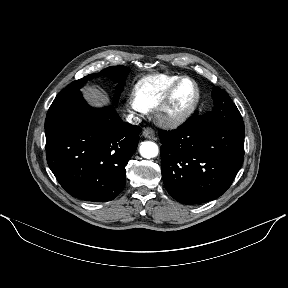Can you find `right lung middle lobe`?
Here are the masks:
<instances>
[{"label": "right lung middle lobe", "instance_id": "obj_1", "mask_svg": "<svg viewBox=\"0 0 288 288\" xmlns=\"http://www.w3.org/2000/svg\"><path fill=\"white\" fill-rule=\"evenodd\" d=\"M128 72H129V68L123 65H118L115 67H108L102 70L100 73L89 74L69 84L65 89H63L60 93H58V95L56 96L53 102L58 101L59 99L67 96L68 94L72 92L79 91L80 87H82L85 83H87V81L90 80L91 78H98L100 76H106L111 79H114L116 82H119L117 93L114 97V105H117L118 99L121 95V92L123 91V86H124L123 81Z\"/></svg>", "mask_w": 288, "mask_h": 288}]
</instances>
